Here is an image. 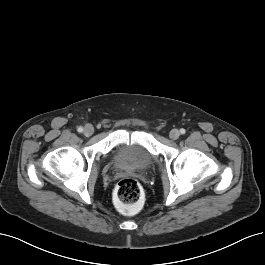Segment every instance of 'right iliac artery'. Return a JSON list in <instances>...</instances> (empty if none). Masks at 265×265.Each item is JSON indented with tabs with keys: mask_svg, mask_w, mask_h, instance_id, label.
I'll use <instances>...</instances> for the list:
<instances>
[{
	"mask_svg": "<svg viewBox=\"0 0 265 265\" xmlns=\"http://www.w3.org/2000/svg\"><path fill=\"white\" fill-rule=\"evenodd\" d=\"M78 132H82L83 131V128L82 127H78Z\"/></svg>",
	"mask_w": 265,
	"mask_h": 265,
	"instance_id": "right-iliac-artery-1",
	"label": "right iliac artery"
}]
</instances>
